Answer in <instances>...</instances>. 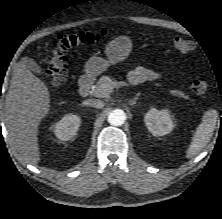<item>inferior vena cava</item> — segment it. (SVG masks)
Returning <instances> with one entry per match:
<instances>
[{
    "label": "inferior vena cava",
    "mask_w": 222,
    "mask_h": 219,
    "mask_svg": "<svg viewBox=\"0 0 222 219\" xmlns=\"http://www.w3.org/2000/svg\"><path fill=\"white\" fill-rule=\"evenodd\" d=\"M86 105L94 107V108H103L104 107V102L98 99H89L84 102Z\"/></svg>",
    "instance_id": "obj_1"
}]
</instances>
